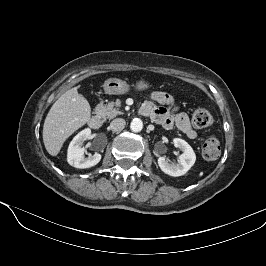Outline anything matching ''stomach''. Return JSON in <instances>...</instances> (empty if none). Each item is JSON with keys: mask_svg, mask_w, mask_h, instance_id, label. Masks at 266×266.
I'll return each instance as SVG.
<instances>
[{"mask_svg": "<svg viewBox=\"0 0 266 266\" xmlns=\"http://www.w3.org/2000/svg\"><path fill=\"white\" fill-rule=\"evenodd\" d=\"M151 84L145 79H140L130 86L126 81L119 78H109L103 84L104 92L108 95H120L128 93L132 88L135 91H144L149 89Z\"/></svg>", "mask_w": 266, "mask_h": 266, "instance_id": "1", "label": "stomach"}]
</instances>
